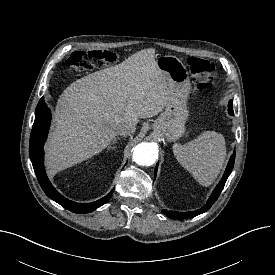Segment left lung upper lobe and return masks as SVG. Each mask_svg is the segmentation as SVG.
<instances>
[{"label": "left lung upper lobe", "instance_id": "left-lung-upper-lobe-1", "mask_svg": "<svg viewBox=\"0 0 275 275\" xmlns=\"http://www.w3.org/2000/svg\"><path fill=\"white\" fill-rule=\"evenodd\" d=\"M228 111L231 115H233V104H232V101H229L228 103Z\"/></svg>", "mask_w": 275, "mask_h": 275}]
</instances>
